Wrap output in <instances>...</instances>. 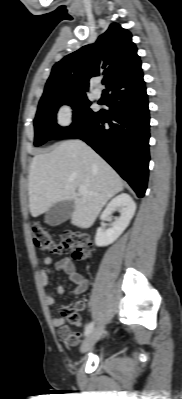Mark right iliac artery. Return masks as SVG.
<instances>
[{"label":"right iliac artery","instance_id":"right-iliac-artery-1","mask_svg":"<svg viewBox=\"0 0 182 399\" xmlns=\"http://www.w3.org/2000/svg\"><path fill=\"white\" fill-rule=\"evenodd\" d=\"M93 328H94V322H90L85 328L84 335L88 336L91 333V331L93 330Z\"/></svg>","mask_w":182,"mask_h":399}]
</instances>
